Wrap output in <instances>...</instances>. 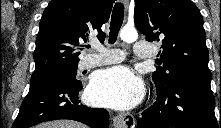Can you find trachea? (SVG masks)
<instances>
[{
    "instance_id": "trachea-1",
    "label": "trachea",
    "mask_w": 221,
    "mask_h": 128,
    "mask_svg": "<svg viewBox=\"0 0 221 128\" xmlns=\"http://www.w3.org/2000/svg\"><path fill=\"white\" fill-rule=\"evenodd\" d=\"M124 6L122 3H116L111 16L109 43L114 44L117 40L119 30L123 23ZM90 47V46H88Z\"/></svg>"
}]
</instances>
